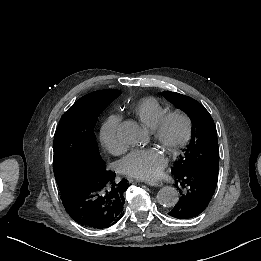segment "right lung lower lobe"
Returning <instances> with one entry per match:
<instances>
[{
    "mask_svg": "<svg viewBox=\"0 0 261 261\" xmlns=\"http://www.w3.org/2000/svg\"><path fill=\"white\" fill-rule=\"evenodd\" d=\"M128 187L127 180L115 182V173L104 168L94 175L83 170L75 172L59 189L63 206L75 222L105 229L123 216V195Z\"/></svg>",
    "mask_w": 261,
    "mask_h": 261,
    "instance_id": "98d812e1",
    "label": "right lung lower lobe"
}]
</instances>
